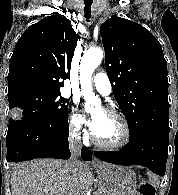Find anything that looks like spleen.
I'll use <instances>...</instances> for the list:
<instances>
[{
  "instance_id": "spleen-1",
  "label": "spleen",
  "mask_w": 178,
  "mask_h": 195,
  "mask_svg": "<svg viewBox=\"0 0 178 195\" xmlns=\"http://www.w3.org/2000/svg\"><path fill=\"white\" fill-rule=\"evenodd\" d=\"M150 182H151V184H152L154 187L158 186V184H159L158 179L155 178V177H151V178H150Z\"/></svg>"
}]
</instances>
